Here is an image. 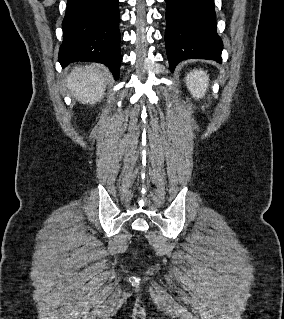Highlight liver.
Masks as SVG:
<instances>
[{
	"label": "liver",
	"mask_w": 284,
	"mask_h": 319,
	"mask_svg": "<svg viewBox=\"0 0 284 319\" xmlns=\"http://www.w3.org/2000/svg\"><path fill=\"white\" fill-rule=\"evenodd\" d=\"M112 76L100 65L76 66L67 77L66 85L71 95L83 104H95L103 98Z\"/></svg>",
	"instance_id": "liver-1"
}]
</instances>
